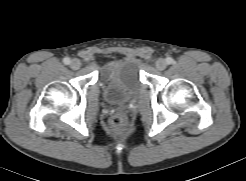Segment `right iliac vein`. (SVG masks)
<instances>
[{"mask_svg":"<svg viewBox=\"0 0 246 181\" xmlns=\"http://www.w3.org/2000/svg\"><path fill=\"white\" fill-rule=\"evenodd\" d=\"M81 66V62L78 60V59H73L71 60L70 62V67L74 70H77L79 69Z\"/></svg>","mask_w":246,"mask_h":181,"instance_id":"obj_1","label":"right iliac vein"}]
</instances>
